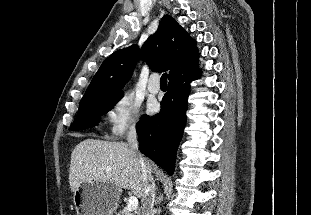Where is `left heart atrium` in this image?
<instances>
[{"mask_svg": "<svg viewBox=\"0 0 311 215\" xmlns=\"http://www.w3.org/2000/svg\"><path fill=\"white\" fill-rule=\"evenodd\" d=\"M155 109H156V105H155V104L150 105L149 110H150L151 112H154Z\"/></svg>", "mask_w": 311, "mask_h": 215, "instance_id": "obj_1", "label": "left heart atrium"}]
</instances>
